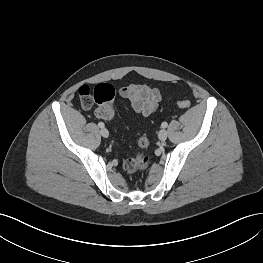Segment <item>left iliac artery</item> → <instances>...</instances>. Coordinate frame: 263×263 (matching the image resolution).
Here are the masks:
<instances>
[{
	"label": "left iliac artery",
	"mask_w": 263,
	"mask_h": 263,
	"mask_svg": "<svg viewBox=\"0 0 263 263\" xmlns=\"http://www.w3.org/2000/svg\"><path fill=\"white\" fill-rule=\"evenodd\" d=\"M167 125H168V123H167V122H163V123L161 124L162 128H166V127H167Z\"/></svg>",
	"instance_id": "left-iliac-artery-1"
}]
</instances>
